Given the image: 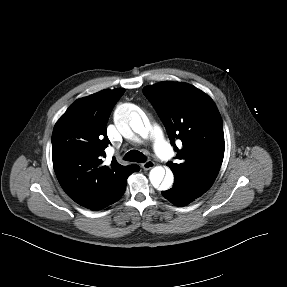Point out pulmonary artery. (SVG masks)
Returning a JSON list of instances; mask_svg holds the SVG:
<instances>
[{"label":"pulmonary artery","instance_id":"pulmonary-artery-1","mask_svg":"<svg viewBox=\"0 0 287 287\" xmlns=\"http://www.w3.org/2000/svg\"><path fill=\"white\" fill-rule=\"evenodd\" d=\"M154 149L157 155L164 160H168L172 157V150L158 128L154 129Z\"/></svg>","mask_w":287,"mask_h":287}]
</instances>
